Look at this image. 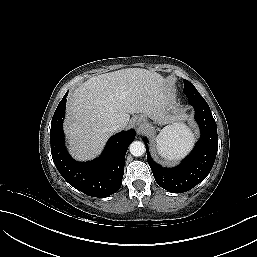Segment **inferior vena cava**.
<instances>
[{
	"instance_id": "obj_1",
	"label": "inferior vena cava",
	"mask_w": 257,
	"mask_h": 257,
	"mask_svg": "<svg viewBox=\"0 0 257 257\" xmlns=\"http://www.w3.org/2000/svg\"><path fill=\"white\" fill-rule=\"evenodd\" d=\"M121 129V125L118 123H114L109 127L110 132H116Z\"/></svg>"
}]
</instances>
